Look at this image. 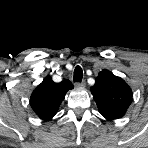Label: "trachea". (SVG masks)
Returning a JSON list of instances; mask_svg holds the SVG:
<instances>
[{
    "label": "trachea",
    "mask_w": 148,
    "mask_h": 148,
    "mask_svg": "<svg viewBox=\"0 0 148 148\" xmlns=\"http://www.w3.org/2000/svg\"><path fill=\"white\" fill-rule=\"evenodd\" d=\"M83 78V71L80 66H76L74 70L73 80L74 82H81Z\"/></svg>",
    "instance_id": "trachea-1"
}]
</instances>
